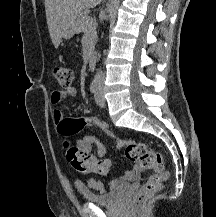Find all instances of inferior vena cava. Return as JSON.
Listing matches in <instances>:
<instances>
[{
    "label": "inferior vena cava",
    "mask_w": 216,
    "mask_h": 217,
    "mask_svg": "<svg viewBox=\"0 0 216 217\" xmlns=\"http://www.w3.org/2000/svg\"><path fill=\"white\" fill-rule=\"evenodd\" d=\"M95 81L98 82V83H103L104 82V73L100 69L96 73Z\"/></svg>",
    "instance_id": "602c4592"
}]
</instances>
